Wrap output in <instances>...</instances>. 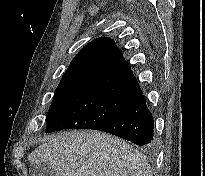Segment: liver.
I'll return each instance as SVG.
<instances>
[{
    "mask_svg": "<svg viewBox=\"0 0 205 176\" xmlns=\"http://www.w3.org/2000/svg\"><path fill=\"white\" fill-rule=\"evenodd\" d=\"M28 160L50 164L55 176H152L139 151L123 139L99 131L52 135Z\"/></svg>",
    "mask_w": 205,
    "mask_h": 176,
    "instance_id": "6515ba94",
    "label": "liver"
}]
</instances>
